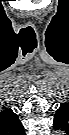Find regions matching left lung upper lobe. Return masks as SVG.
Instances as JSON below:
<instances>
[{
  "mask_svg": "<svg viewBox=\"0 0 69 135\" xmlns=\"http://www.w3.org/2000/svg\"><path fill=\"white\" fill-rule=\"evenodd\" d=\"M60 109H61V107L59 108V110L56 112V116L59 114V112H60Z\"/></svg>",
  "mask_w": 69,
  "mask_h": 135,
  "instance_id": "5c2ea615",
  "label": "left lung upper lobe"
}]
</instances>
